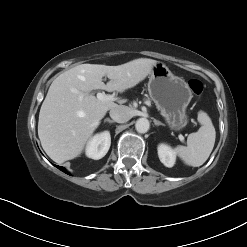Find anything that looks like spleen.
Masks as SVG:
<instances>
[{
    "instance_id": "1",
    "label": "spleen",
    "mask_w": 247,
    "mask_h": 247,
    "mask_svg": "<svg viewBox=\"0 0 247 247\" xmlns=\"http://www.w3.org/2000/svg\"><path fill=\"white\" fill-rule=\"evenodd\" d=\"M198 121L202 124L200 129L189 134L187 146H177L178 156L189 166L199 167L210 156L216 138L215 128L210 117L203 111L198 114Z\"/></svg>"
}]
</instances>
